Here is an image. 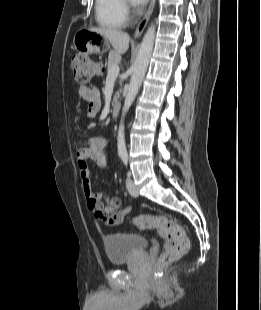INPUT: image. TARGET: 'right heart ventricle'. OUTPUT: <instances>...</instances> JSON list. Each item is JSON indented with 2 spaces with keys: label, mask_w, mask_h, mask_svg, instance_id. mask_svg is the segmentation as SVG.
Returning <instances> with one entry per match:
<instances>
[{
  "label": "right heart ventricle",
  "mask_w": 261,
  "mask_h": 310,
  "mask_svg": "<svg viewBox=\"0 0 261 310\" xmlns=\"http://www.w3.org/2000/svg\"><path fill=\"white\" fill-rule=\"evenodd\" d=\"M95 19L103 28H123L128 21L123 0H95Z\"/></svg>",
  "instance_id": "1"
}]
</instances>
